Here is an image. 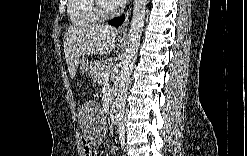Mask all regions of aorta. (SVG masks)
Here are the masks:
<instances>
[{
  "label": "aorta",
  "mask_w": 247,
  "mask_h": 156,
  "mask_svg": "<svg viewBox=\"0 0 247 156\" xmlns=\"http://www.w3.org/2000/svg\"><path fill=\"white\" fill-rule=\"evenodd\" d=\"M147 0L133 1V16L128 34V46L126 55L122 62V67L119 76V85L116 98V123L119 126L124 125V112L126 105V97L128 87L130 84V77L132 73L133 64L137 57L140 39L144 27L145 10Z\"/></svg>",
  "instance_id": "aorta-1"
}]
</instances>
